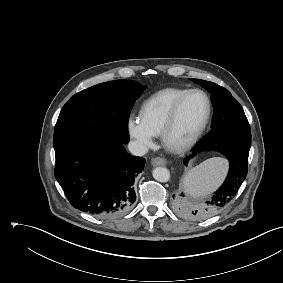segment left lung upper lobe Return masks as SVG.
<instances>
[{"label": "left lung upper lobe", "mask_w": 283, "mask_h": 283, "mask_svg": "<svg viewBox=\"0 0 283 283\" xmlns=\"http://www.w3.org/2000/svg\"><path fill=\"white\" fill-rule=\"evenodd\" d=\"M191 80L211 93L214 108L211 131L200 143L209 147L231 146L250 150V125L238 101L227 89L213 82Z\"/></svg>", "instance_id": "left-lung-upper-lobe-1"}]
</instances>
